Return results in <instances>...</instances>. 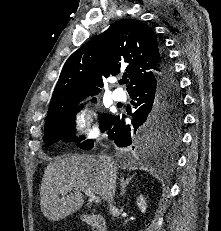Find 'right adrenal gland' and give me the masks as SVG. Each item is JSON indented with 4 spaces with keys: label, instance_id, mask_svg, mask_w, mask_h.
Listing matches in <instances>:
<instances>
[{
    "label": "right adrenal gland",
    "instance_id": "1",
    "mask_svg": "<svg viewBox=\"0 0 221 231\" xmlns=\"http://www.w3.org/2000/svg\"><path fill=\"white\" fill-rule=\"evenodd\" d=\"M135 175L130 176L129 178L124 179V177H121L120 179V186H121V192H120V197L124 196L125 192H126V188L129 185V183L131 182V180L133 179Z\"/></svg>",
    "mask_w": 221,
    "mask_h": 231
}]
</instances>
